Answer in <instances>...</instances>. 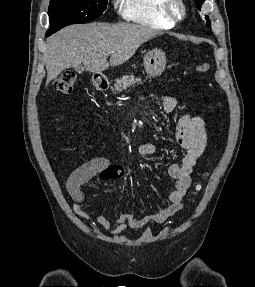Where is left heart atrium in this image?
Instances as JSON below:
<instances>
[{
    "mask_svg": "<svg viewBox=\"0 0 255 287\" xmlns=\"http://www.w3.org/2000/svg\"><path fill=\"white\" fill-rule=\"evenodd\" d=\"M121 33H138V32H121ZM118 39H137V38H118ZM123 48H133V47H123Z\"/></svg>",
    "mask_w": 255,
    "mask_h": 287,
    "instance_id": "39dd6f15",
    "label": "left heart atrium"
}]
</instances>
